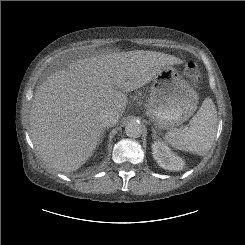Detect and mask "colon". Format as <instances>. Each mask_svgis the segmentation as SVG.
Instances as JSON below:
<instances>
[{
    "label": "colon",
    "instance_id": "obj_1",
    "mask_svg": "<svg viewBox=\"0 0 245 245\" xmlns=\"http://www.w3.org/2000/svg\"><path fill=\"white\" fill-rule=\"evenodd\" d=\"M183 73H184V76L189 80V82L194 85L198 84L201 79L199 67L194 62L186 63Z\"/></svg>",
    "mask_w": 245,
    "mask_h": 245
}]
</instances>
